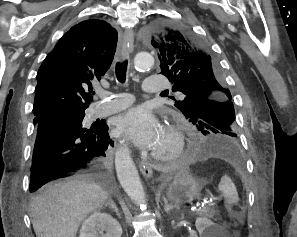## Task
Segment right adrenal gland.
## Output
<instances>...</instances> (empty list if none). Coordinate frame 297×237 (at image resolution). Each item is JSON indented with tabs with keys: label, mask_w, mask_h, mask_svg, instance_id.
<instances>
[{
	"label": "right adrenal gland",
	"mask_w": 297,
	"mask_h": 237,
	"mask_svg": "<svg viewBox=\"0 0 297 237\" xmlns=\"http://www.w3.org/2000/svg\"><path fill=\"white\" fill-rule=\"evenodd\" d=\"M105 206H106V207L109 206L110 208H112V209L116 212L117 216H118L119 218H121V215H120V213L118 212V208H117L116 204L114 203V201L112 200L111 196L109 197V199H108V201L106 202Z\"/></svg>",
	"instance_id": "obj_1"
}]
</instances>
